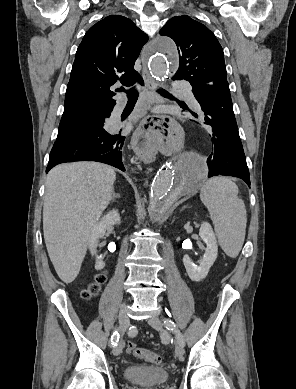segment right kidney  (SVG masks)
Listing matches in <instances>:
<instances>
[{"label": "right kidney", "mask_w": 296, "mask_h": 389, "mask_svg": "<svg viewBox=\"0 0 296 389\" xmlns=\"http://www.w3.org/2000/svg\"><path fill=\"white\" fill-rule=\"evenodd\" d=\"M121 223V218L118 213V210H111L106 215H104L99 222H97L91 232L89 238L88 247L91 254L96 252L97 246L99 244V239L103 238L108 226L119 225ZM105 266V263L102 259L96 260L95 269L101 270Z\"/></svg>", "instance_id": "ca27d5eb"}]
</instances>
